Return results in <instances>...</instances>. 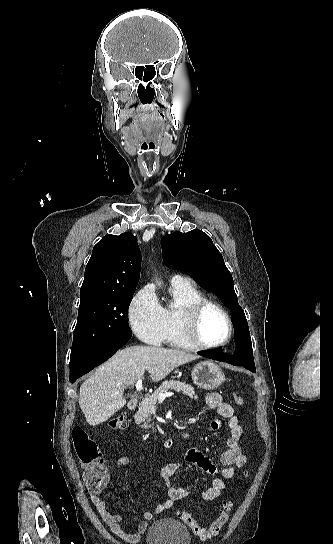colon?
<instances>
[{
	"label": "colon",
	"instance_id": "5ec220e1",
	"mask_svg": "<svg viewBox=\"0 0 333 544\" xmlns=\"http://www.w3.org/2000/svg\"><path fill=\"white\" fill-rule=\"evenodd\" d=\"M237 405H243L244 399L238 394H233ZM127 425L124 413L113 417L109 426L112 429H124ZM72 439L76 454L83 467V478L89 490L99 489L107 479V469L104 465L101 451L96 442L89 436L86 430L81 427H74ZM233 503L230 500L224 501L221 511L214 521L207 527L201 526L195 518L187 513L180 512L179 518L190 527L193 533L201 540H208L217 536L227 523L232 510Z\"/></svg>",
	"mask_w": 333,
	"mask_h": 544
}]
</instances>
